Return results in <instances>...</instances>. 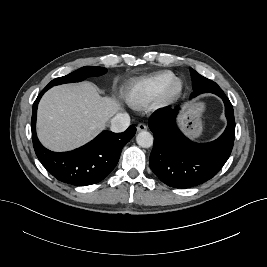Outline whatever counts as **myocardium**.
Segmentation results:
<instances>
[{"label":"myocardium","mask_w":267,"mask_h":267,"mask_svg":"<svg viewBox=\"0 0 267 267\" xmlns=\"http://www.w3.org/2000/svg\"><path fill=\"white\" fill-rule=\"evenodd\" d=\"M183 92V82L179 78L172 79L158 97V104L167 105L176 101Z\"/></svg>","instance_id":"myocardium-1"}]
</instances>
